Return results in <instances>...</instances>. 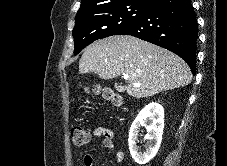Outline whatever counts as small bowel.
Instances as JSON below:
<instances>
[{"label":"small bowel","instance_id":"small-bowel-1","mask_svg":"<svg viewBox=\"0 0 227 166\" xmlns=\"http://www.w3.org/2000/svg\"><path fill=\"white\" fill-rule=\"evenodd\" d=\"M93 134L95 137L102 138V146L113 152L114 159L117 163H122L124 161L125 153L122 150L117 149L113 143V140L115 139L116 135L112 129L104 126H98L94 128ZM95 165H96V161L91 155L89 154L84 155L83 166H95Z\"/></svg>","mask_w":227,"mask_h":166}]
</instances>
